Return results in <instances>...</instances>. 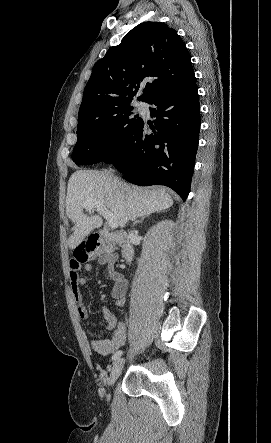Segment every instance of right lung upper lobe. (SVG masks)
Masks as SVG:
<instances>
[{"label": "right lung upper lobe", "instance_id": "1", "mask_svg": "<svg viewBox=\"0 0 271 443\" xmlns=\"http://www.w3.org/2000/svg\"><path fill=\"white\" fill-rule=\"evenodd\" d=\"M193 80L190 55L176 31L164 23H141L95 63L78 119L98 118L127 105L140 88L137 99L149 102Z\"/></svg>", "mask_w": 271, "mask_h": 443}]
</instances>
